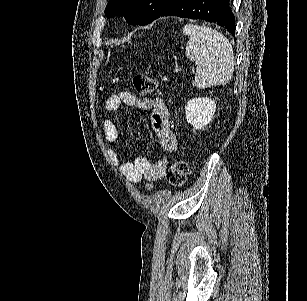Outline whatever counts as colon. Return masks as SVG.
Wrapping results in <instances>:
<instances>
[{"instance_id":"obj_1","label":"colon","mask_w":307,"mask_h":301,"mask_svg":"<svg viewBox=\"0 0 307 301\" xmlns=\"http://www.w3.org/2000/svg\"><path fill=\"white\" fill-rule=\"evenodd\" d=\"M133 84L138 93H149L157 89L158 79L149 73L137 74L133 78ZM188 164L185 160H175L168 168L166 178L168 182L175 186H183L188 176ZM150 188V186H147Z\"/></svg>"}]
</instances>
